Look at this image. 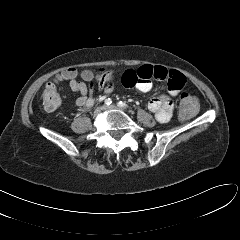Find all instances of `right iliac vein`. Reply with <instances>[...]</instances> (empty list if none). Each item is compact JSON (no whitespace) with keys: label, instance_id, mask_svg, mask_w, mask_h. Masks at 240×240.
Instances as JSON below:
<instances>
[{"label":"right iliac vein","instance_id":"obj_1","mask_svg":"<svg viewBox=\"0 0 240 240\" xmlns=\"http://www.w3.org/2000/svg\"><path fill=\"white\" fill-rule=\"evenodd\" d=\"M103 109H104L103 106L96 108L95 111H94V115H95V116L98 115Z\"/></svg>","mask_w":240,"mask_h":240}]
</instances>
